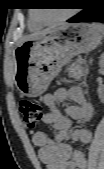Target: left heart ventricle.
Returning a JSON list of instances; mask_svg holds the SVG:
<instances>
[{
	"mask_svg": "<svg viewBox=\"0 0 104 169\" xmlns=\"http://www.w3.org/2000/svg\"><path fill=\"white\" fill-rule=\"evenodd\" d=\"M65 11L63 10H43L40 11L41 18L45 20H56L63 16Z\"/></svg>",
	"mask_w": 104,
	"mask_h": 169,
	"instance_id": "left-heart-ventricle-1",
	"label": "left heart ventricle"
}]
</instances>
